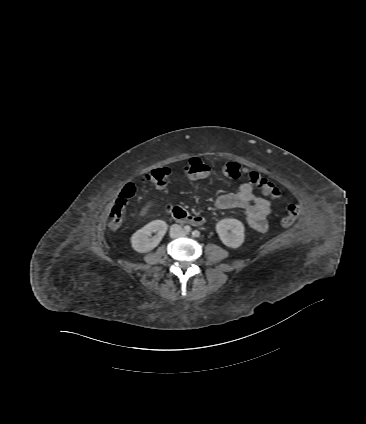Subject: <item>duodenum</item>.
Segmentation results:
<instances>
[{"instance_id":"obj_1","label":"duodenum","mask_w":366,"mask_h":424,"mask_svg":"<svg viewBox=\"0 0 366 424\" xmlns=\"http://www.w3.org/2000/svg\"><path fill=\"white\" fill-rule=\"evenodd\" d=\"M167 211L179 223H192L194 225H203L205 220L201 216L191 215L186 210L177 206H170Z\"/></svg>"}]
</instances>
